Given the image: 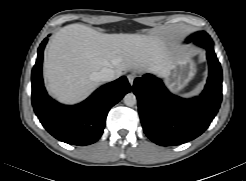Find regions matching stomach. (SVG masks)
I'll use <instances>...</instances> for the list:
<instances>
[{
	"instance_id": "0dacf381",
	"label": "stomach",
	"mask_w": 246,
	"mask_h": 181,
	"mask_svg": "<svg viewBox=\"0 0 246 181\" xmlns=\"http://www.w3.org/2000/svg\"><path fill=\"white\" fill-rule=\"evenodd\" d=\"M195 72L196 64L191 53L182 49L172 57L163 78L168 89L177 94L193 78Z\"/></svg>"
}]
</instances>
